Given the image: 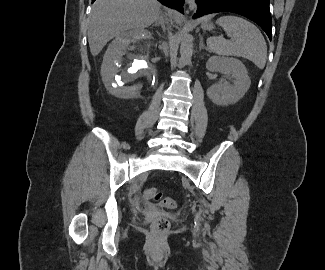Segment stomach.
Masks as SVG:
<instances>
[{
    "instance_id": "stomach-1",
    "label": "stomach",
    "mask_w": 325,
    "mask_h": 270,
    "mask_svg": "<svg viewBox=\"0 0 325 270\" xmlns=\"http://www.w3.org/2000/svg\"><path fill=\"white\" fill-rule=\"evenodd\" d=\"M202 27L204 29L211 30V29L214 28V25L211 22H209V21H205V22L202 23Z\"/></svg>"
}]
</instances>
